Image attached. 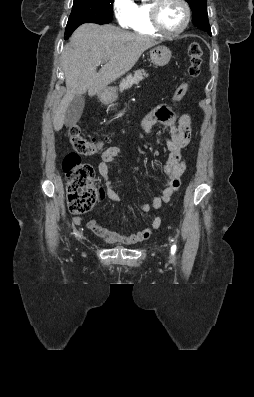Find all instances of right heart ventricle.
Masks as SVG:
<instances>
[{"mask_svg":"<svg viewBox=\"0 0 254 397\" xmlns=\"http://www.w3.org/2000/svg\"><path fill=\"white\" fill-rule=\"evenodd\" d=\"M150 5V1L134 3L133 15L129 27L137 34L148 36L158 35L151 25Z\"/></svg>","mask_w":254,"mask_h":397,"instance_id":"e07e8e85","label":"right heart ventricle"}]
</instances>
